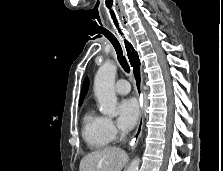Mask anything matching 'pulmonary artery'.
<instances>
[{
  "mask_svg": "<svg viewBox=\"0 0 223 171\" xmlns=\"http://www.w3.org/2000/svg\"><path fill=\"white\" fill-rule=\"evenodd\" d=\"M115 91L120 95H126L130 92V84L125 79H120L115 84Z\"/></svg>",
  "mask_w": 223,
  "mask_h": 171,
  "instance_id": "1",
  "label": "pulmonary artery"
}]
</instances>
